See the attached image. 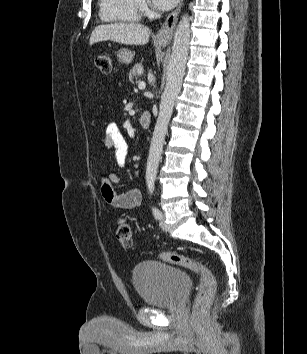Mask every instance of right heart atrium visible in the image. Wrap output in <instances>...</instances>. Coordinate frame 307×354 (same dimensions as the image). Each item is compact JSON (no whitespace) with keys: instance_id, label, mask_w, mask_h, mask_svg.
Returning <instances> with one entry per match:
<instances>
[{"instance_id":"d8ad5b80","label":"right heart atrium","mask_w":307,"mask_h":354,"mask_svg":"<svg viewBox=\"0 0 307 354\" xmlns=\"http://www.w3.org/2000/svg\"><path fill=\"white\" fill-rule=\"evenodd\" d=\"M139 5L142 11H146L147 10V4L145 2V0H139Z\"/></svg>"}]
</instances>
